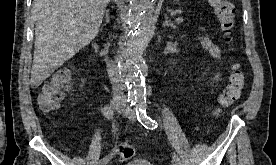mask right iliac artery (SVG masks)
Returning a JSON list of instances; mask_svg holds the SVG:
<instances>
[{"label":"right iliac artery","instance_id":"obj_1","mask_svg":"<svg viewBox=\"0 0 276 165\" xmlns=\"http://www.w3.org/2000/svg\"><path fill=\"white\" fill-rule=\"evenodd\" d=\"M130 103V106L135 104L134 100H129L128 101ZM103 115L107 118V119H113V111L111 110L110 106H105L103 108ZM114 153L109 154L108 156L104 157L103 159L100 160L99 165H106L107 162L109 161V159L112 158Z\"/></svg>","mask_w":276,"mask_h":165}]
</instances>
